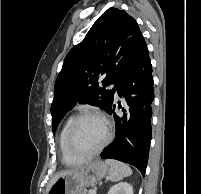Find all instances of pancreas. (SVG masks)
Segmentation results:
<instances>
[{
  "label": "pancreas",
  "mask_w": 201,
  "mask_h": 194,
  "mask_svg": "<svg viewBox=\"0 0 201 194\" xmlns=\"http://www.w3.org/2000/svg\"><path fill=\"white\" fill-rule=\"evenodd\" d=\"M80 194H89V192L84 191V192H81Z\"/></svg>",
  "instance_id": "pancreas-1"
}]
</instances>
